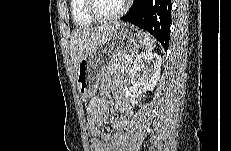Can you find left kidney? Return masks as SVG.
Here are the masks:
<instances>
[{"instance_id":"obj_1","label":"left kidney","mask_w":231,"mask_h":151,"mask_svg":"<svg viewBox=\"0 0 231 151\" xmlns=\"http://www.w3.org/2000/svg\"><path fill=\"white\" fill-rule=\"evenodd\" d=\"M161 71V57L146 53L137 56L130 70L131 83L152 91L156 86Z\"/></svg>"}]
</instances>
